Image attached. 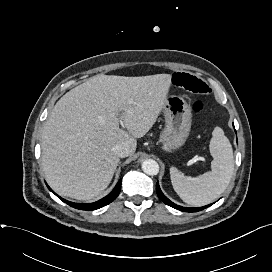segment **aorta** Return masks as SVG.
<instances>
[{"instance_id": "obj_1", "label": "aorta", "mask_w": 272, "mask_h": 272, "mask_svg": "<svg viewBox=\"0 0 272 272\" xmlns=\"http://www.w3.org/2000/svg\"><path fill=\"white\" fill-rule=\"evenodd\" d=\"M142 170L147 175H157L159 173V165L155 160L147 159L142 163Z\"/></svg>"}]
</instances>
